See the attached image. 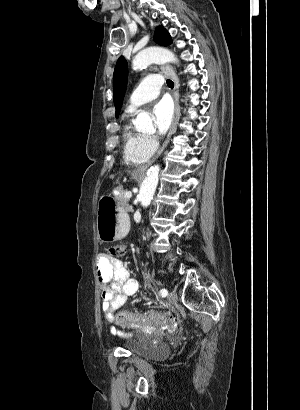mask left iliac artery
<instances>
[{
  "instance_id": "obj_1",
  "label": "left iliac artery",
  "mask_w": 300,
  "mask_h": 410,
  "mask_svg": "<svg viewBox=\"0 0 300 410\" xmlns=\"http://www.w3.org/2000/svg\"><path fill=\"white\" fill-rule=\"evenodd\" d=\"M160 294H161L162 297H166L168 295L167 289H165V288L161 289Z\"/></svg>"
}]
</instances>
